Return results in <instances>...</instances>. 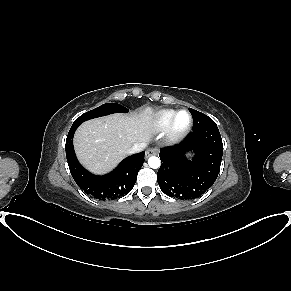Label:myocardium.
I'll use <instances>...</instances> for the list:
<instances>
[{"label": "myocardium", "mask_w": 291, "mask_h": 291, "mask_svg": "<svg viewBox=\"0 0 291 291\" xmlns=\"http://www.w3.org/2000/svg\"><path fill=\"white\" fill-rule=\"evenodd\" d=\"M181 113L187 114L188 122L184 127L179 128L176 124V118ZM192 122H193V118H192L191 113L188 110L182 109V110L176 111L174 115L172 116L168 127L166 128L167 138L172 142L181 140L189 132L192 126Z\"/></svg>", "instance_id": "f54148a6"}]
</instances>
